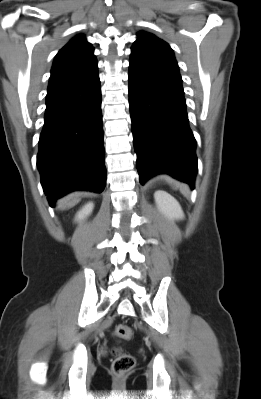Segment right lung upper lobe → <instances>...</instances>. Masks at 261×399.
<instances>
[{
	"label": "right lung upper lobe",
	"mask_w": 261,
	"mask_h": 399,
	"mask_svg": "<svg viewBox=\"0 0 261 399\" xmlns=\"http://www.w3.org/2000/svg\"><path fill=\"white\" fill-rule=\"evenodd\" d=\"M94 48L84 35H77L55 56L48 91L81 82L98 72Z\"/></svg>",
	"instance_id": "right-lung-upper-lobe-1"
}]
</instances>
